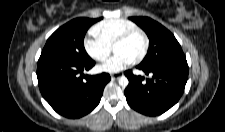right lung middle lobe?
Segmentation results:
<instances>
[{
  "instance_id": "right-lung-middle-lobe-1",
  "label": "right lung middle lobe",
  "mask_w": 225,
  "mask_h": 132,
  "mask_svg": "<svg viewBox=\"0 0 225 132\" xmlns=\"http://www.w3.org/2000/svg\"><path fill=\"white\" fill-rule=\"evenodd\" d=\"M100 19L76 18L57 29L47 40L40 58H55L76 63L92 59L84 48L88 28Z\"/></svg>"
}]
</instances>
